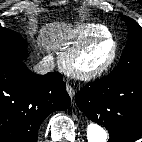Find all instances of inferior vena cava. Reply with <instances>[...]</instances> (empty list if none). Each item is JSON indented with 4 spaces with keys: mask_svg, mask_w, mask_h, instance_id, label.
<instances>
[{
    "mask_svg": "<svg viewBox=\"0 0 142 142\" xmlns=\"http://www.w3.org/2000/svg\"><path fill=\"white\" fill-rule=\"evenodd\" d=\"M54 67H55V61L50 58H45L34 66V71L37 74L44 75L51 72L54 69Z\"/></svg>",
    "mask_w": 142,
    "mask_h": 142,
    "instance_id": "602c4592",
    "label": "inferior vena cava"
}]
</instances>
